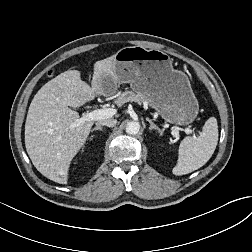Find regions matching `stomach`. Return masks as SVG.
Listing matches in <instances>:
<instances>
[{
    "label": "stomach",
    "instance_id": "0dacf381",
    "mask_svg": "<svg viewBox=\"0 0 252 252\" xmlns=\"http://www.w3.org/2000/svg\"><path fill=\"white\" fill-rule=\"evenodd\" d=\"M114 56V74L101 77L105 96L113 95L118 83H129L167 122L185 126L194 121L199 111L198 101L188 77L173 68L168 54L130 46Z\"/></svg>",
    "mask_w": 252,
    "mask_h": 252
}]
</instances>
